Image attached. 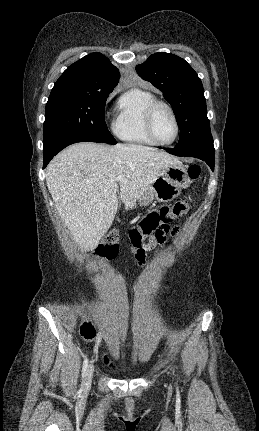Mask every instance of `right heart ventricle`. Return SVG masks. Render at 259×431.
<instances>
[{
    "instance_id": "e07e8e85",
    "label": "right heart ventricle",
    "mask_w": 259,
    "mask_h": 431,
    "mask_svg": "<svg viewBox=\"0 0 259 431\" xmlns=\"http://www.w3.org/2000/svg\"><path fill=\"white\" fill-rule=\"evenodd\" d=\"M155 100L152 92L138 88L123 93L118 101L113 123L114 133L120 140L139 146L156 145L149 138L144 121L146 108Z\"/></svg>"
}]
</instances>
